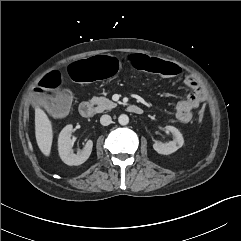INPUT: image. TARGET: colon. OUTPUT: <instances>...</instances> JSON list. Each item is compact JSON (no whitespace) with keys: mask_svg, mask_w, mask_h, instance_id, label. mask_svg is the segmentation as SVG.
Segmentation results:
<instances>
[{"mask_svg":"<svg viewBox=\"0 0 241 241\" xmlns=\"http://www.w3.org/2000/svg\"><path fill=\"white\" fill-rule=\"evenodd\" d=\"M127 64L135 69L168 80L180 79L184 75L183 68L178 64L136 55H130L126 59L124 55L115 51L100 53L74 62L69 67L68 75L71 81L77 84L93 83L121 74L126 69ZM61 82V75L58 72L51 73L42 79L36 93L41 94L55 90L61 85ZM36 100H39L49 111L59 112L68 108L71 96L68 92L61 91L41 98L36 97ZM203 117L204 109H201L198 116L199 121Z\"/></svg>","mask_w":241,"mask_h":241,"instance_id":"1","label":"colon"}]
</instances>
